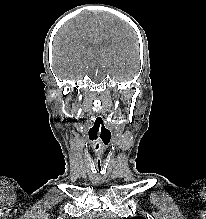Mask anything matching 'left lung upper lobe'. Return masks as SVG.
Wrapping results in <instances>:
<instances>
[{"instance_id": "obj_1", "label": "left lung upper lobe", "mask_w": 206, "mask_h": 219, "mask_svg": "<svg viewBox=\"0 0 206 219\" xmlns=\"http://www.w3.org/2000/svg\"><path fill=\"white\" fill-rule=\"evenodd\" d=\"M123 219H146L144 217H135V218H123Z\"/></svg>"}]
</instances>
